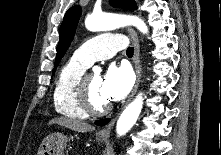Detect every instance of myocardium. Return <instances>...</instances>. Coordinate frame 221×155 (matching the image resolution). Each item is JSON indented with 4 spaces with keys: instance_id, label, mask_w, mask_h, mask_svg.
<instances>
[{
    "instance_id": "1",
    "label": "myocardium",
    "mask_w": 221,
    "mask_h": 155,
    "mask_svg": "<svg viewBox=\"0 0 221 155\" xmlns=\"http://www.w3.org/2000/svg\"><path fill=\"white\" fill-rule=\"evenodd\" d=\"M90 74L84 73L79 79L76 86V97L79 105L87 114L100 116L109 112L112 106L108 103L102 107H98L93 103L89 88Z\"/></svg>"
}]
</instances>
